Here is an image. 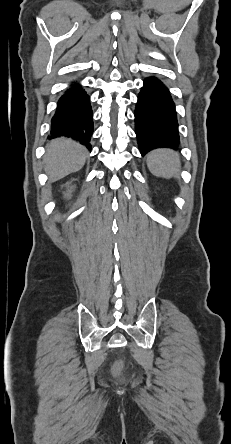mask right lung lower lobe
I'll return each instance as SVG.
<instances>
[{
    "label": "right lung lower lobe",
    "mask_w": 231,
    "mask_h": 444,
    "mask_svg": "<svg viewBox=\"0 0 231 444\" xmlns=\"http://www.w3.org/2000/svg\"><path fill=\"white\" fill-rule=\"evenodd\" d=\"M92 109L87 93L74 84L59 99L51 120V137H70L91 149L93 133Z\"/></svg>",
    "instance_id": "1"
}]
</instances>
